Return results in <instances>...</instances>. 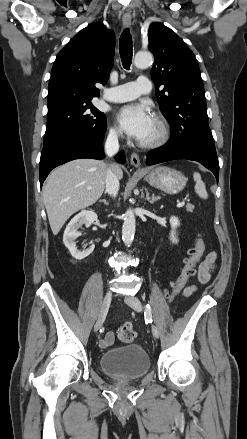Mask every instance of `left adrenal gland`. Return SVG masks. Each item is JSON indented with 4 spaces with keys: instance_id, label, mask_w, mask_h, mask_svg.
<instances>
[{
    "instance_id": "left-adrenal-gland-1",
    "label": "left adrenal gland",
    "mask_w": 247,
    "mask_h": 439,
    "mask_svg": "<svg viewBox=\"0 0 247 439\" xmlns=\"http://www.w3.org/2000/svg\"><path fill=\"white\" fill-rule=\"evenodd\" d=\"M146 190V200L148 201V202H150L151 204H153L155 201H157V200H159L160 199V197L159 196H154V194L152 195V197L150 198V196H149V191L147 190V189H145Z\"/></svg>"
}]
</instances>
